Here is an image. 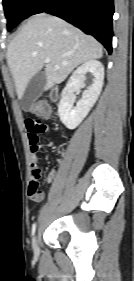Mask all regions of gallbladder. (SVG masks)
I'll return each mask as SVG.
<instances>
[{"mask_svg":"<svg viewBox=\"0 0 134 281\" xmlns=\"http://www.w3.org/2000/svg\"><path fill=\"white\" fill-rule=\"evenodd\" d=\"M46 82L47 79L44 71H39L31 78L21 98V106L24 111L28 112L31 110L33 102L42 94Z\"/></svg>","mask_w":134,"mask_h":281,"instance_id":"obj_1","label":"gallbladder"}]
</instances>
